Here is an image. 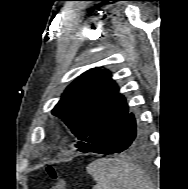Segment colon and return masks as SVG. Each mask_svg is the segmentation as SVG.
<instances>
[{
  "mask_svg": "<svg viewBox=\"0 0 188 189\" xmlns=\"http://www.w3.org/2000/svg\"><path fill=\"white\" fill-rule=\"evenodd\" d=\"M46 171L51 179L54 180V185L50 189H66L67 183L65 178L58 172V170L52 166L48 165Z\"/></svg>",
  "mask_w": 188,
  "mask_h": 189,
  "instance_id": "1",
  "label": "colon"
}]
</instances>
